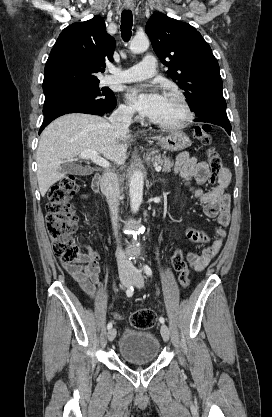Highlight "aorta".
Wrapping results in <instances>:
<instances>
[{
    "label": "aorta",
    "instance_id": "aorta-1",
    "mask_svg": "<svg viewBox=\"0 0 272 417\" xmlns=\"http://www.w3.org/2000/svg\"><path fill=\"white\" fill-rule=\"evenodd\" d=\"M149 39L146 36H135L130 43V50L133 53H141L148 49ZM144 177L141 171L136 170L131 175L129 195L131 211L136 213L142 203Z\"/></svg>",
    "mask_w": 272,
    "mask_h": 417
}]
</instances>
